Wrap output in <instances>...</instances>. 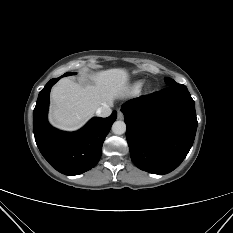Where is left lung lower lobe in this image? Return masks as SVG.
<instances>
[{
  "instance_id": "obj_1",
  "label": "left lung lower lobe",
  "mask_w": 233,
  "mask_h": 233,
  "mask_svg": "<svg viewBox=\"0 0 233 233\" xmlns=\"http://www.w3.org/2000/svg\"><path fill=\"white\" fill-rule=\"evenodd\" d=\"M133 163L153 174L177 168L193 145L197 118L187 87L176 84L122 105Z\"/></svg>"
}]
</instances>
